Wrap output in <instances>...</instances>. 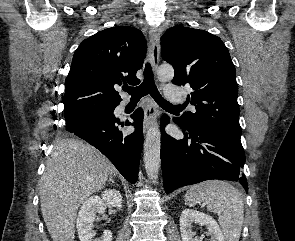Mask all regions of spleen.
Returning <instances> with one entry per match:
<instances>
[{
    "label": "spleen",
    "instance_id": "obj_1",
    "mask_svg": "<svg viewBox=\"0 0 295 241\" xmlns=\"http://www.w3.org/2000/svg\"><path fill=\"white\" fill-rule=\"evenodd\" d=\"M203 202L210 212L218 214V222L226 241H239L244 220L241 193L230 183L210 180L193 185L185 194V204Z\"/></svg>",
    "mask_w": 295,
    "mask_h": 241
}]
</instances>
